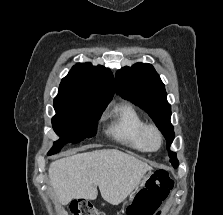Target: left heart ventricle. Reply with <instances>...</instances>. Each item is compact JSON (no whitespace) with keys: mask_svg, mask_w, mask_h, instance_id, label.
Wrapping results in <instances>:
<instances>
[{"mask_svg":"<svg viewBox=\"0 0 223 215\" xmlns=\"http://www.w3.org/2000/svg\"><path fill=\"white\" fill-rule=\"evenodd\" d=\"M149 143L152 146H156L157 145V138H156V136L154 134H151L149 136Z\"/></svg>","mask_w":223,"mask_h":215,"instance_id":"b2bd125f","label":"left heart ventricle"}]
</instances>
